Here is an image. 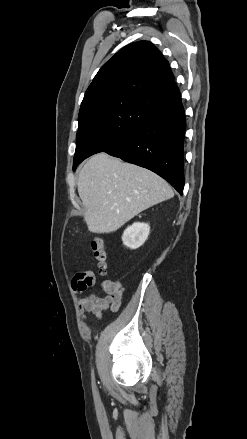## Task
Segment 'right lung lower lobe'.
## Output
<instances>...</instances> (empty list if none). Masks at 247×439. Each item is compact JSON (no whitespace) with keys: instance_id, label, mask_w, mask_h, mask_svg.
<instances>
[{"instance_id":"obj_1","label":"right lung lower lobe","mask_w":247,"mask_h":439,"mask_svg":"<svg viewBox=\"0 0 247 439\" xmlns=\"http://www.w3.org/2000/svg\"><path fill=\"white\" fill-rule=\"evenodd\" d=\"M185 127L179 96L155 108L139 127L105 152L157 173L182 194Z\"/></svg>"}]
</instances>
